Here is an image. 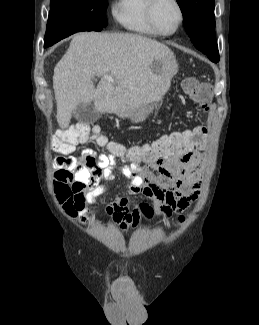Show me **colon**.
<instances>
[{
	"instance_id": "5ec220e1",
	"label": "colon",
	"mask_w": 259,
	"mask_h": 325,
	"mask_svg": "<svg viewBox=\"0 0 259 325\" xmlns=\"http://www.w3.org/2000/svg\"><path fill=\"white\" fill-rule=\"evenodd\" d=\"M182 90L195 103L208 109L212 98L211 89L208 85L202 83L197 78L187 77L182 81ZM91 132L97 146L105 147L110 153H126L133 160L145 161L175 149H199V142H203L206 139L209 131L203 125H194L193 130L173 132L152 142L125 148L121 144L108 141L107 137L98 128L91 129L86 124H80L65 129L56 135L52 139L51 147L56 153H70L74 146L78 142L86 140ZM139 210L147 217L152 215V209L148 205H140ZM185 222L186 216H179L178 224H184Z\"/></svg>"
}]
</instances>
